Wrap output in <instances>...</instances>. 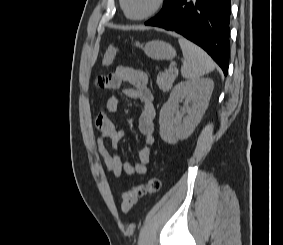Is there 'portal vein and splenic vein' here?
<instances>
[{
	"instance_id": "1",
	"label": "portal vein and splenic vein",
	"mask_w": 283,
	"mask_h": 245,
	"mask_svg": "<svg viewBox=\"0 0 283 245\" xmlns=\"http://www.w3.org/2000/svg\"><path fill=\"white\" fill-rule=\"evenodd\" d=\"M169 70L170 71H174L175 69H174V67H170Z\"/></svg>"
}]
</instances>
